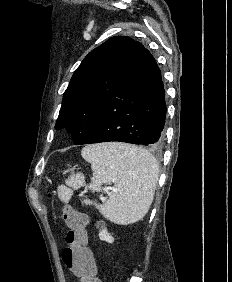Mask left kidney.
<instances>
[{
  "instance_id": "obj_1",
  "label": "left kidney",
  "mask_w": 232,
  "mask_h": 282,
  "mask_svg": "<svg viewBox=\"0 0 232 282\" xmlns=\"http://www.w3.org/2000/svg\"><path fill=\"white\" fill-rule=\"evenodd\" d=\"M97 227L99 229V238L102 241H106L108 243H112L114 241V238L110 235V233H108L105 225H103L102 223H98Z\"/></svg>"
}]
</instances>
